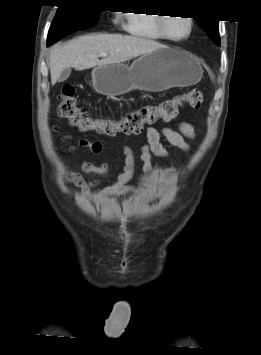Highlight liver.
<instances>
[{"mask_svg": "<svg viewBox=\"0 0 261 355\" xmlns=\"http://www.w3.org/2000/svg\"><path fill=\"white\" fill-rule=\"evenodd\" d=\"M162 44L143 37L122 34H89L55 45L50 53L51 83L55 85L64 69L81 71L96 66L122 63L150 53ZM108 55L99 60V54Z\"/></svg>", "mask_w": 261, "mask_h": 355, "instance_id": "liver-1", "label": "liver"}]
</instances>
